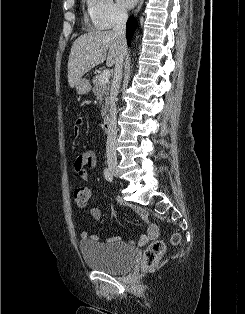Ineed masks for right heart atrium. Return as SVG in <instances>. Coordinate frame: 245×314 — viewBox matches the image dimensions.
<instances>
[{"instance_id": "d8ad5b80", "label": "right heart atrium", "mask_w": 245, "mask_h": 314, "mask_svg": "<svg viewBox=\"0 0 245 314\" xmlns=\"http://www.w3.org/2000/svg\"><path fill=\"white\" fill-rule=\"evenodd\" d=\"M88 12L92 26L108 30L126 19V11L113 0H88Z\"/></svg>"}]
</instances>
